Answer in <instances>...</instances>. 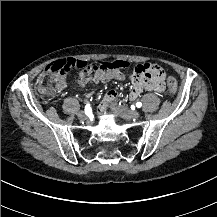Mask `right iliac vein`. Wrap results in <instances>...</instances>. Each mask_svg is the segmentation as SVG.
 <instances>
[{
    "mask_svg": "<svg viewBox=\"0 0 217 217\" xmlns=\"http://www.w3.org/2000/svg\"><path fill=\"white\" fill-rule=\"evenodd\" d=\"M77 116H78L79 120H81V121H84V120L87 119L86 114H85L84 112H82V111L79 112V113L77 114Z\"/></svg>",
    "mask_w": 217,
    "mask_h": 217,
    "instance_id": "1",
    "label": "right iliac vein"
}]
</instances>
